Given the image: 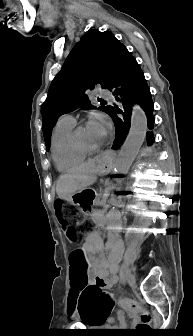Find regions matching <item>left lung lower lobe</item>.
<instances>
[{"mask_svg":"<svg viewBox=\"0 0 193 336\" xmlns=\"http://www.w3.org/2000/svg\"><path fill=\"white\" fill-rule=\"evenodd\" d=\"M108 90L114 92L116 100L122 103L125 110L122 116H118L120 110L111 107L109 113L114 120L116 129L112 149L118 150L125 141L130 129L131 106L133 103L139 104L144 110L148 128L153 129L154 124V104L150 89L139 64L126 48L121 52L114 79ZM146 139L150 145L154 140L153 133L147 132Z\"/></svg>","mask_w":193,"mask_h":336,"instance_id":"0a47b994","label":"left lung lower lobe"}]
</instances>
